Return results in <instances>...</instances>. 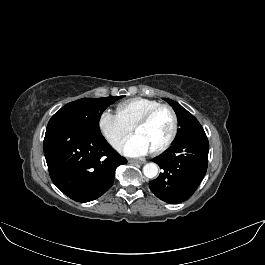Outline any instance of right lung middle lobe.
I'll return each mask as SVG.
<instances>
[{
    "mask_svg": "<svg viewBox=\"0 0 265 265\" xmlns=\"http://www.w3.org/2000/svg\"><path fill=\"white\" fill-rule=\"evenodd\" d=\"M120 98L122 96L95 99L83 98L70 102L51 117L48 126L70 124L95 133H101L99 128L101 114L110 104Z\"/></svg>",
    "mask_w": 265,
    "mask_h": 265,
    "instance_id": "right-lung-middle-lobe-1",
    "label": "right lung middle lobe"
}]
</instances>
